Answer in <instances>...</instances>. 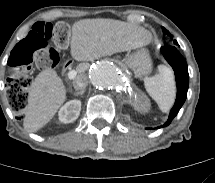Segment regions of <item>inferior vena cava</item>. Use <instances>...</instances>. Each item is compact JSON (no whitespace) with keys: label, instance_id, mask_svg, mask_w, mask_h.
Returning <instances> with one entry per match:
<instances>
[{"label":"inferior vena cava","instance_id":"obj_1","mask_svg":"<svg viewBox=\"0 0 215 183\" xmlns=\"http://www.w3.org/2000/svg\"><path fill=\"white\" fill-rule=\"evenodd\" d=\"M88 85V78L86 75H81L78 76L74 82H73V86L76 90H82L84 89L86 86Z\"/></svg>","mask_w":215,"mask_h":183}]
</instances>
